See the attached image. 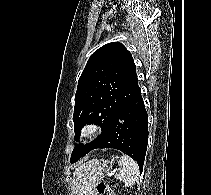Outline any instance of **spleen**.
I'll list each match as a JSON object with an SVG mask.
<instances>
[{
    "label": "spleen",
    "mask_w": 211,
    "mask_h": 195,
    "mask_svg": "<svg viewBox=\"0 0 211 195\" xmlns=\"http://www.w3.org/2000/svg\"><path fill=\"white\" fill-rule=\"evenodd\" d=\"M118 165L121 169L115 177L123 181L126 186H132L139 176L138 164L132 158L123 154L118 160Z\"/></svg>",
    "instance_id": "spleen-1"
}]
</instances>
